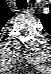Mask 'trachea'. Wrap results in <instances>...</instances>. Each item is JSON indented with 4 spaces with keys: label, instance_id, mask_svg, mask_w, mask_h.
<instances>
[{
    "label": "trachea",
    "instance_id": "obj_1",
    "mask_svg": "<svg viewBox=\"0 0 51 74\" xmlns=\"http://www.w3.org/2000/svg\"><path fill=\"white\" fill-rule=\"evenodd\" d=\"M28 6V3L26 0H17L16 1V7L18 9H26Z\"/></svg>",
    "mask_w": 51,
    "mask_h": 74
}]
</instances>
